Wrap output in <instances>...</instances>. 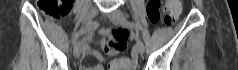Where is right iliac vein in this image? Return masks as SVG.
<instances>
[{
  "label": "right iliac vein",
  "instance_id": "63e3f726",
  "mask_svg": "<svg viewBox=\"0 0 238 70\" xmlns=\"http://www.w3.org/2000/svg\"><path fill=\"white\" fill-rule=\"evenodd\" d=\"M98 14V9L96 7H92L86 14L82 26H87ZM74 56L76 58H79L81 55V44L80 42H77L74 46L73 50Z\"/></svg>",
  "mask_w": 238,
  "mask_h": 70
}]
</instances>
